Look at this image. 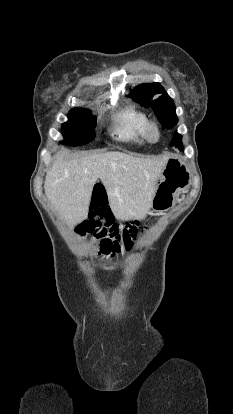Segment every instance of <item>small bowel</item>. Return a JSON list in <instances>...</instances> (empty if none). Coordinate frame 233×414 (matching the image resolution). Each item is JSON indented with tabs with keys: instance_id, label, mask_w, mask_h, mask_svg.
Instances as JSON below:
<instances>
[{
	"instance_id": "obj_1",
	"label": "small bowel",
	"mask_w": 233,
	"mask_h": 414,
	"mask_svg": "<svg viewBox=\"0 0 233 414\" xmlns=\"http://www.w3.org/2000/svg\"><path fill=\"white\" fill-rule=\"evenodd\" d=\"M107 255H108V256H110V255H111V256H114L115 254H114V253H111V254H110V253H108ZM109 260H110V261H111V260H113V261H117L118 259H117V258H113V259H111V258H110Z\"/></svg>"
}]
</instances>
